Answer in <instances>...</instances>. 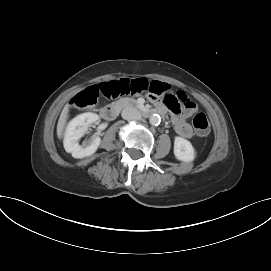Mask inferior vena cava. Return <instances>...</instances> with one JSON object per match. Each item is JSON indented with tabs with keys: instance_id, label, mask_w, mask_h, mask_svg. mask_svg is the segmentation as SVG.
<instances>
[{
	"instance_id": "obj_1",
	"label": "inferior vena cava",
	"mask_w": 271,
	"mask_h": 271,
	"mask_svg": "<svg viewBox=\"0 0 271 271\" xmlns=\"http://www.w3.org/2000/svg\"><path fill=\"white\" fill-rule=\"evenodd\" d=\"M121 115L125 120H139L141 118L140 112L134 107L124 108Z\"/></svg>"
}]
</instances>
